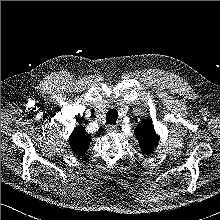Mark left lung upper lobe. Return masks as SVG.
Segmentation results:
<instances>
[{"label": "left lung upper lobe", "mask_w": 220, "mask_h": 220, "mask_svg": "<svg viewBox=\"0 0 220 220\" xmlns=\"http://www.w3.org/2000/svg\"><path fill=\"white\" fill-rule=\"evenodd\" d=\"M134 132L143 153L146 155L152 153L160 137L156 134L151 120L146 119L140 123Z\"/></svg>", "instance_id": "obj_1"}]
</instances>
